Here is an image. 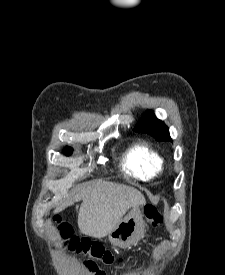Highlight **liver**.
Listing matches in <instances>:
<instances>
[{
	"label": "liver",
	"mask_w": 225,
	"mask_h": 275,
	"mask_svg": "<svg viewBox=\"0 0 225 275\" xmlns=\"http://www.w3.org/2000/svg\"><path fill=\"white\" fill-rule=\"evenodd\" d=\"M80 200L78 226L82 233L94 238L107 236L130 208L146 202L144 195L133 187L97 182L63 201L54 212H61Z\"/></svg>",
	"instance_id": "6515ba94"
}]
</instances>
